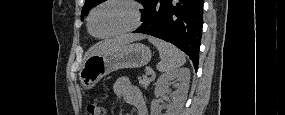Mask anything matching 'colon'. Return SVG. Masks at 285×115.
<instances>
[{
    "label": "colon",
    "instance_id": "obj_1",
    "mask_svg": "<svg viewBox=\"0 0 285 115\" xmlns=\"http://www.w3.org/2000/svg\"><path fill=\"white\" fill-rule=\"evenodd\" d=\"M87 113L89 115H104L105 108L103 105L99 104L98 102H90L87 105Z\"/></svg>",
    "mask_w": 285,
    "mask_h": 115
}]
</instances>
